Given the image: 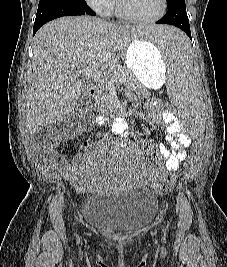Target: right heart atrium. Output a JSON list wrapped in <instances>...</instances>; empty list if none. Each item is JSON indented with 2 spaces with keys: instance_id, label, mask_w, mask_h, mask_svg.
I'll return each instance as SVG.
<instances>
[{
  "instance_id": "right-heart-atrium-1",
  "label": "right heart atrium",
  "mask_w": 227,
  "mask_h": 267,
  "mask_svg": "<svg viewBox=\"0 0 227 267\" xmlns=\"http://www.w3.org/2000/svg\"><path fill=\"white\" fill-rule=\"evenodd\" d=\"M86 4L102 16H109L116 4V0H85Z\"/></svg>"
}]
</instances>
